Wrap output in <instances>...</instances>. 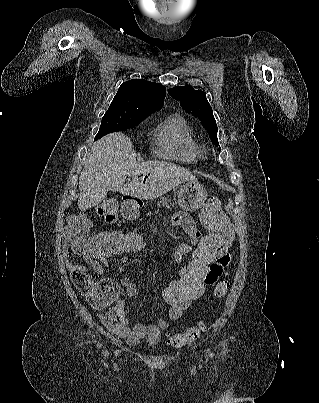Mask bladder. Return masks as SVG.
<instances>
[{
    "label": "bladder",
    "instance_id": "1",
    "mask_svg": "<svg viewBox=\"0 0 319 403\" xmlns=\"http://www.w3.org/2000/svg\"><path fill=\"white\" fill-rule=\"evenodd\" d=\"M148 331H149V333H150V339H149V342H157L158 340H159V336H160V333H159V331L157 330V329H155V328H153V327H150L149 329H148Z\"/></svg>",
    "mask_w": 319,
    "mask_h": 403
}]
</instances>
